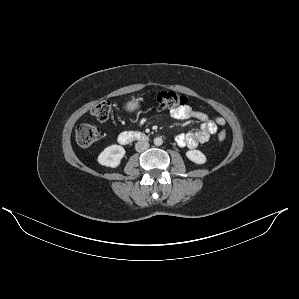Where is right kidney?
<instances>
[{
  "label": "right kidney",
  "instance_id": "right-kidney-1",
  "mask_svg": "<svg viewBox=\"0 0 299 299\" xmlns=\"http://www.w3.org/2000/svg\"><path fill=\"white\" fill-rule=\"evenodd\" d=\"M125 155V149L119 145H111L106 147L98 156V163L106 166L115 168L119 166L122 158Z\"/></svg>",
  "mask_w": 299,
  "mask_h": 299
}]
</instances>
